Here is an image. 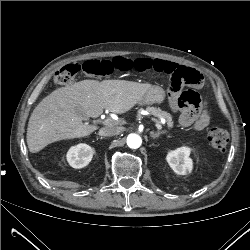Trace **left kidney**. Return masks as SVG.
<instances>
[{"instance_id": "left-kidney-1", "label": "left kidney", "mask_w": 250, "mask_h": 250, "mask_svg": "<svg viewBox=\"0 0 250 250\" xmlns=\"http://www.w3.org/2000/svg\"><path fill=\"white\" fill-rule=\"evenodd\" d=\"M190 152L189 147H180L168 153L166 160L176 174L186 175L191 173L193 161L189 157Z\"/></svg>"}]
</instances>
